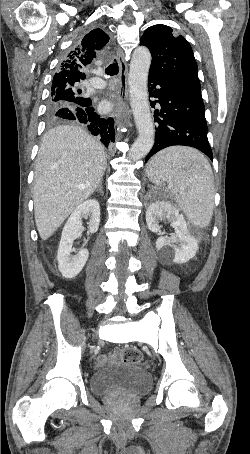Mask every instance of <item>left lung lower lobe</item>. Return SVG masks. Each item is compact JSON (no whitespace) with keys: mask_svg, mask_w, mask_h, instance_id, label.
Wrapping results in <instances>:
<instances>
[{"mask_svg":"<svg viewBox=\"0 0 250 454\" xmlns=\"http://www.w3.org/2000/svg\"><path fill=\"white\" fill-rule=\"evenodd\" d=\"M149 97L156 122V138L153 148L146 156L147 161L155 153L169 146L184 145L197 148L213 160L207 139V123L201 86L173 82L149 73Z\"/></svg>","mask_w":250,"mask_h":454,"instance_id":"obj_1","label":"left lung lower lobe"}]
</instances>
